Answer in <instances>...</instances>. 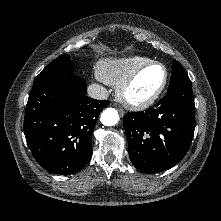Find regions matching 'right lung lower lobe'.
Instances as JSON below:
<instances>
[{
    "label": "right lung lower lobe",
    "instance_id": "1",
    "mask_svg": "<svg viewBox=\"0 0 221 221\" xmlns=\"http://www.w3.org/2000/svg\"><path fill=\"white\" fill-rule=\"evenodd\" d=\"M86 87L82 78L66 74L29 94L24 134L36 161L51 173H77L92 157L94 127L109 101L89 98Z\"/></svg>",
    "mask_w": 221,
    "mask_h": 221
}]
</instances>
